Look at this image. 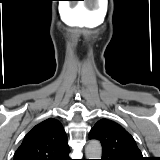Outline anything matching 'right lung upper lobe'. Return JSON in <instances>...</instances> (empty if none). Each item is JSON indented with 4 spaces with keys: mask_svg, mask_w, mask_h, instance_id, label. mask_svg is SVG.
<instances>
[{
    "mask_svg": "<svg viewBox=\"0 0 160 160\" xmlns=\"http://www.w3.org/2000/svg\"><path fill=\"white\" fill-rule=\"evenodd\" d=\"M69 152L62 124L49 118L26 134L14 154V160H65Z\"/></svg>",
    "mask_w": 160,
    "mask_h": 160,
    "instance_id": "cb5924a9",
    "label": "right lung upper lobe"
}]
</instances>
